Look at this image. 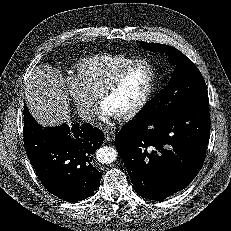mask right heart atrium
<instances>
[{
    "label": "right heart atrium",
    "instance_id": "d8ad5b80",
    "mask_svg": "<svg viewBox=\"0 0 231 231\" xmlns=\"http://www.w3.org/2000/svg\"><path fill=\"white\" fill-rule=\"evenodd\" d=\"M63 90L73 101L79 116L85 121H91L95 112V97L88 94L74 76L64 79Z\"/></svg>",
    "mask_w": 231,
    "mask_h": 231
}]
</instances>
